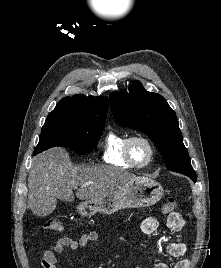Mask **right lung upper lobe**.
I'll use <instances>...</instances> for the list:
<instances>
[{"mask_svg": "<svg viewBox=\"0 0 221 268\" xmlns=\"http://www.w3.org/2000/svg\"><path fill=\"white\" fill-rule=\"evenodd\" d=\"M108 98L76 94L60 100L51 113L67 114L86 121L105 123Z\"/></svg>", "mask_w": 221, "mask_h": 268, "instance_id": "obj_1", "label": "right lung upper lobe"}]
</instances>
